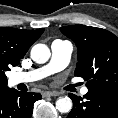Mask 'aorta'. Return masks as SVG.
<instances>
[{
  "mask_svg": "<svg viewBox=\"0 0 118 118\" xmlns=\"http://www.w3.org/2000/svg\"><path fill=\"white\" fill-rule=\"evenodd\" d=\"M50 49L45 44H36L31 49V58L38 64L47 62L50 58ZM73 106L69 97H62L56 101V109L61 113H68Z\"/></svg>",
  "mask_w": 118,
  "mask_h": 118,
  "instance_id": "obj_1",
  "label": "aorta"
}]
</instances>
